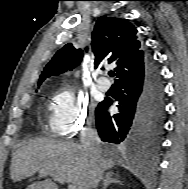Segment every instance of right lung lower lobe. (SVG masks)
I'll use <instances>...</instances> for the list:
<instances>
[{"instance_id": "obj_1", "label": "right lung lower lobe", "mask_w": 188, "mask_h": 189, "mask_svg": "<svg viewBox=\"0 0 188 189\" xmlns=\"http://www.w3.org/2000/svg\"><path fill=\"white\" fill-rule=\"evenodd\" d=\"M117 84L119 113L106 112L112 100L96 109V126L102 141L127 146L147 155L157 145L164 122V93L157 66L149 56L141 72Z\"/></svg>"}]
</instances>
